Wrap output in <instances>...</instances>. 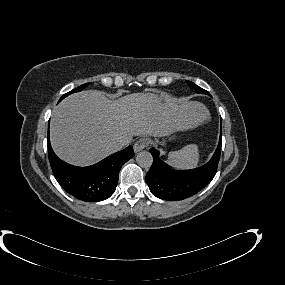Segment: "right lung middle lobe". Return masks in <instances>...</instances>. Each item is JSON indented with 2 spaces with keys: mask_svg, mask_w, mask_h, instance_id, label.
<instances>
[{
  "mask_svg": "<svg viewBox=\"0 0 285 285\" xmlns=\"http://www.w3.org/2000/svg\"><path fill=\"white\" fill-rule=\"evenodd\" d=\"M87 85H88V84L81 85V86H79L78 88H76V89H74V90H72V91H70V92L64 94V95L61 97V99H60L59 101H61L63 98H65V97L68 96L69 94H72V93H74V92H79V91H81V90L84 89Z\"/></svg>",
  "mask_w": 285,
  "mask_h": 285,
  "instance_id": "dd1d6c3e",
  "label": "right lung middle lobe"
}]
</instances>
